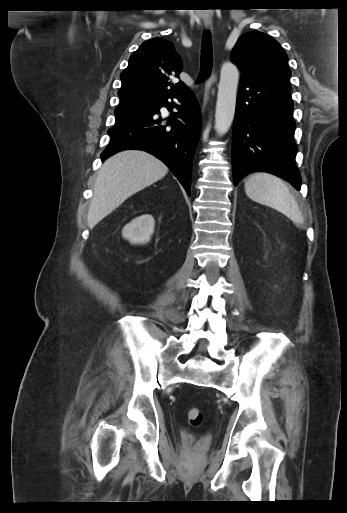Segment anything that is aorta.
Listing matches in <instances>:
<instances>
[{
  "label": "aorta",
  "instance_id": "obj_1",
  "mask_svg": "<svg viewBox=\"0 0 347 513\" xmlns=\"http://www.w3.org/2000/svg\"><path fill=\"white\" fill-rule=\"evenodd\" d=\"M239 72L236 65L225 62L221 67L215 112V130L219 135L228 132L235 115Z\"/></svg>",
  "mask_w": 347,
  "mask_h": 513
}]
</instances>
